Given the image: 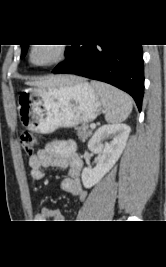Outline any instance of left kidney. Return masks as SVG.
I'll return each instance as SVG.
<instances>
[{"mask_svg": "<svg viewBox=\"0 0 166 267\" xmlns=\"http://www.w3.org/2000/svg\"><path fill=\"white\" fill-rule=\"evenodd\" d=\"M130 131L126 124H111L100 127L94 133L88 142V149L98 155V162L94 168L83 169L82 183L85 188L97 184L115 165L126 146ZM108 138L110 142L105 141Z\"/></svg>", "mask_w": 166, "mask_h": 267, "instance_id": "5707ae66", "label": "left kidney"}]
</instances>
